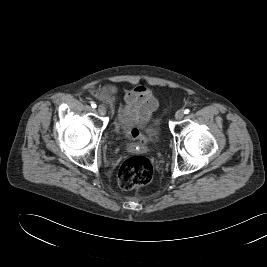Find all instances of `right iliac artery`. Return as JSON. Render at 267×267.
Wrapping results in <instances>:
<instances>
[{
	"label": "right iliac artery",
	"mask_w": 267,
	"mask_h": 267,
	"mask_svg": "<svg viewBox=\"0 0 267 267\" xmlns=\"http://www.w3.org/2000/svg\"><path fill=\"white\" fill-rule=\"evenodd\" d=\"M96 106H97V105H96L95 102H91V107H92V108H96Z\"/></svg>",
	"instance_id": "82829eb1"
}]
</instances>
